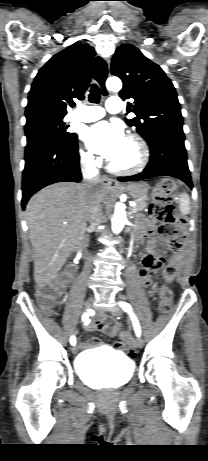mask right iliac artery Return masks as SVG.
I'll list each match as a JSON object with an SVG mask.
<instances>
[{"label": "right iliac artery", "mask_w": 208, "mask_h": 461, "mask_svg": "<svg viewBox=\"0 0 208 461\" xmlns=\"http://www.w3.org/2000/svg\"><path fill=\"white\" fill-rule=\"evenodd\" d=\"M87 320H88V313H84L83 316H82V321H87ZM70 343H71L72 345H75V343H76V338H75V336H72V337L70 338Z\"/></svg>", "instance_id": "obj_1"}]
</instances>
